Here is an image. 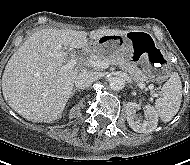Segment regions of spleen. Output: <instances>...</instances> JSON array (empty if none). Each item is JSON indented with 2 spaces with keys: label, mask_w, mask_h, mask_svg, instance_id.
Wrapping results in <instances>:
<instances>
[{
  "label": "spleen",
  "mask_w": 190,
  "mask_h": 165,
  "mask_svg": "<svg viewBox=\"0 0 190 165\" xmlns=\"http://www.w3.org/2000/svg\"><path fill=\"white\" fill-rule=\"evenodd\" d=\"M182 100V83L177 72H173L163 85L155 109L163 122H169L177 114Z\"/></svg>",
  "instance_id": "1"
}]
</instances>
